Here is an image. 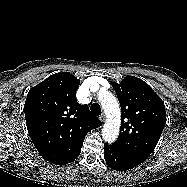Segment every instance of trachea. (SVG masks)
<instances>
[{
    "label": "trachea",
    "mask_w": 187,
    "mask_h": 187,
    "mask_svg": "<svg viewBox=\"0 0 187 187\" xmlns=\"http://www.w3.org/2000/svg\"><path fill=\"white\" fill-rule=\"evenodd\" d=\"M91 112L96 115V116H99L101 114V107L98 103H93L91 105Z\"/></svg>",
    "instance_id": "trachea-1"
}]
</instances>
